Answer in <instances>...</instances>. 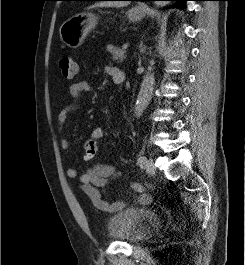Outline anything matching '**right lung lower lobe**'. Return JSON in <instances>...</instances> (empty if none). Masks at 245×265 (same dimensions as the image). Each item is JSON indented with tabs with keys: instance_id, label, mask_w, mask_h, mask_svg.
<instances>
[{
	"instance_id": "right-lung-lower-lobe-1",
	"label": "right lung lower lobe",
	"mask_w": 245,
	"mask_h": 265,
	"mask_svg": "<svg viewBox=\"0 0 245 265\" xmlns=\"http://www.w3.org/2000/svg\"><path fill=\"white\" fill-rule=\"evenodd\" d=\"M95 1H104V0H95Z\"/></svg>"
}]
</instances>
